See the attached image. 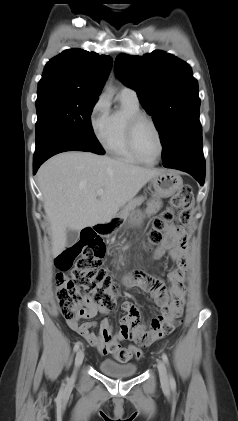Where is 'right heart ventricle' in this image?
<instances>
[{"label":"right heart ventricle","mask_w":238,"mask_h":421,"mask_svg":"<svg viewBox=\"0 0 238 421\" xmlns=\"http://www.w3.org/2000/svg\"><path fill=\"white\" fill-rule=\"evenodd\" d=\"M120 107L109 112L106 127L101 137L104 148L115 157L131 164L139 161L134 157L127 142L129 118L141 112L139 102L119 95Z\"/></svg>","instance_id":"right-heart-ventricle-1"}]
</instances>
